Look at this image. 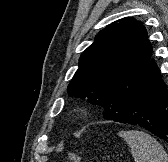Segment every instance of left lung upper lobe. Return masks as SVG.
Returning <instances> with one entry per match:
<instances>
[{"mask_svg":"<svg viewBox=\"0 0 168 162\" xmlns=\"http://www.w3.org/2000/svg\"><path fill=\"white\" fill-rule=\"evenodd\" d=\"M101 30L82 53L79 68L68 85L69 96L105 108L114 89L150 56L152 46L141 22L123 18Z\"/></svg>","mask_w":168,"mask_h":162,"instance_id":"5c2ea615","label":"left lung upper lobe"}]
</instances>
